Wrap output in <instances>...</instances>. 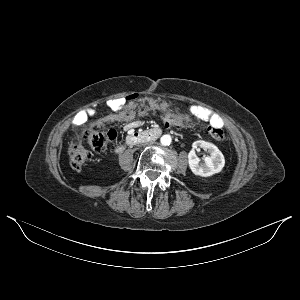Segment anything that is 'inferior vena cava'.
<instances>
[{"label":"inferior vena cava","mask_w":300,"mask_h":300,"mask_svg":"<svg viewBox=\"0 0 300 300\" xmlns=\"http://www.w3.org/2000/svg\"><path fill=\"white\" fill-rule=\"evenodd\" d=\"M142 144L144 146L154 145L155 144V140L154 139L143 140Z\"/></svg>","instance_id":"1"}]
</instances>
